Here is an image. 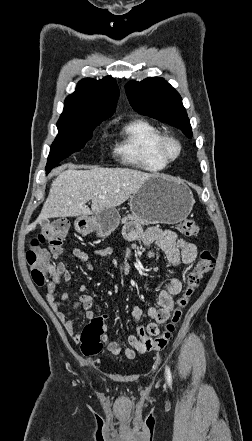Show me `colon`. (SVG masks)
I'll return each mask as SVG.
<instances>
[{
	"label": "colon",
	"mask_w": 252,
	"mask_h": 441,
	"mask_svg": "<svg viewBox=\"0 0 252 441\" xmlns=\"http://www.w3.org/2000/svg\"><path fill=\"white\" fill-rule=\"evenodd\" d=\"M68 227L69 223L65 219L54 220L46 225L42 232L31 241L26 257L31 267V277L36 285H44L47 282L48 275H50L49 251L41 248V244L46 242L52 253L60 251ZM178 228L185 236H195L199 232L198 225L191 219L181 222ZM214 263L215 257L211 251L203 250L200 252L196 265L186 276L185 286L181 296L177 299L176 308L173 309L170 320L165 324L164 330L158 336L151 338L147 335V330L143 325L137 326V336L144 344L145 352L159 351L167 346L171 334L181 318L182 310L188 304L204 276L212 269ZM106 318V315L92 318L81 331L80 344L82 353L85 356H94L101 350L102 335L107 330Z\"/></svg>",
	"instance_id": "1"
}]
</instances>
